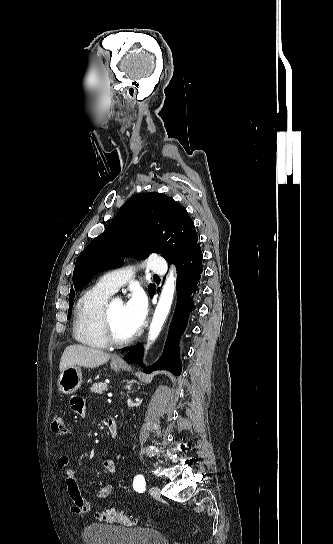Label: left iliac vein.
Masks as SVG:
<instances>
[{"instance_id": "4c4485c4", "label": "left iliac vein", "mask_w": 333, "mask_h": 544, "mask_svg": "<svg viewBox=\"0 0 333 544\" xmlns=\"http://www.w3.org/2000/svg\"><path fill=\"white\" fill-rule=\"evenodd\" d=\"M149 493L152 497L154 498H159L160 497V489L159 487L157 486H152L150 489H149Z\"/></svg>"}]
</instances>
